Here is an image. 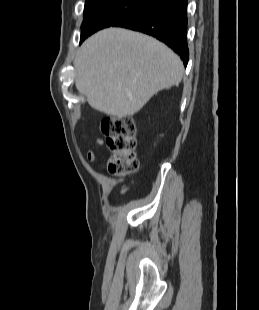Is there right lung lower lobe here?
Returning <instances> with one entry per match:
<instances>
[{
	"label": "right lung lower lobe",
	"mask_w": 259,
	"mask_h": 310,
	"mask_svg": "<svg viewBox=\"0 0 259 310\" xmlns=\"http://www.w3.org/2000/svg\"><path fill=\"white\" fill-rule=\"evenodd\" d=\"M187 24V0H157L115 26L157 38L177 53L186 66L189 59Z\"/></svg>",
	"instance_id": "98d812e1"
}]
</instances>
